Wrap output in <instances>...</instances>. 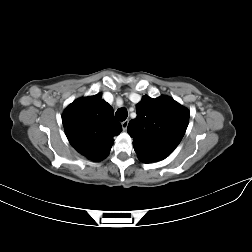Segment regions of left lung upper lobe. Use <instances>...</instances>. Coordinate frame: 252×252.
Here are the masks:
<instances>
[{"label":"left lung upper lobe","mask_w":252,"mask_h":252,"mask_svg":"<svg viewBox=\"0 0 252 252\" xmlns=\"http://www.w3.org/2000/svg\"><path fill=\"white\" fill-rule=\"evenodd\" d=\"M137 117L128 124L134 150L145 163L169 156L181 142L189 121V111L168 96H143L136 105Z\"/></svg>","instance_id":"5c2ea615"}]
</instances>
